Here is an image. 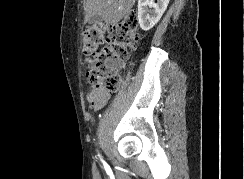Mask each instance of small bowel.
Masks as SVG:
<instances>
[{
    "instance_id": "c3829d8e",
    "label": "small bowel",
    "mask_w": 244,
    "mask_h": 179,
    "mask_svg": "<svg viewBox=\"0 0 244 179\" xmlns=\"http://www.w3.org/2000/svg\"><path fill=\"white\" fill-rule=\"evenodd\" d=\"M86 99L91 109L94 111H99L104 108L110 101L111 94L103 88H90L87 92Z\"/></svg>"
}]
</instances>
